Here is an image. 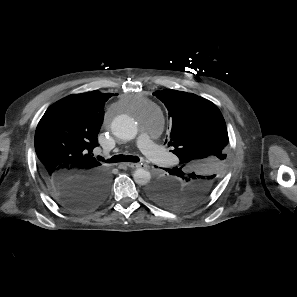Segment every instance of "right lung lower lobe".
<instances>
[{"mask_svg": "<svg viewBox=\"0 0 297 297\" xmlns=\"http://www.w3.org/2000/svg\"><path fill=\"white\" fill-rule=\"evenodd\" d=\"M47 186L54 200L65 208L87 211L105 199L109 177L104 171L92 172L77 180L55 177Z\"/></svg>", "mask_w": 297, "mask_h": 297, "instance_id": "98d812e1", "label": "right lung lower lobe"}]
</instances>
